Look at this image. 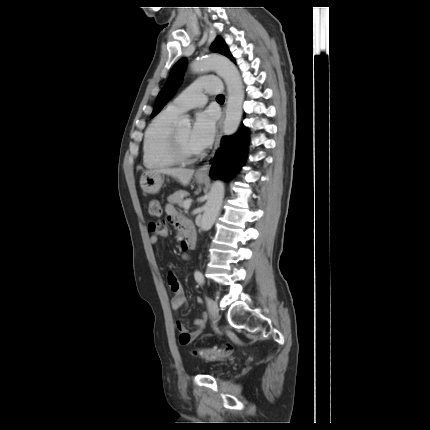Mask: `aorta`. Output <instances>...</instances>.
<instances>
[{
	"label": "aorta",
	"mask_w": 430,
	"mask_h": 430,
	"mask_svg": "<svg viewBox=\"0 0 430 430\" xmlns=\"http://www.w3.org/2000/svg\"><path fill=\"white\" fill-rule=\"evenodd\" d=\"M190 68L197 73L215 71L224 79L228 89V101L223 130L225 135L235 133L241 121L244 101V87L238 69L226 57L217 54H210L206 57L193 60L190 63ZM179 124L183 128L190 127V120L184 117ZM224 191L225 188L222 181L218 180L212 184L205 211L201 218V230L207 231L213 226L221 209Z\"/></svg>",
	"instance_id": "1"
}]
</instances>
